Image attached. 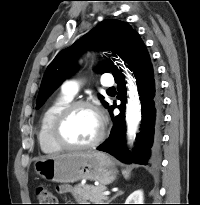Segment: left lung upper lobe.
Listing matches in <instances>:
<instances>
[{
    "label": "left lung upper lobe",
    "instance_id": "5c2ea615",
    "mask_svg": "<svg viewBox=\"0 0 200 205\" xmlns=\"http://www.w3.org/2000/svg\"><path fill=\"white\" fill-rule=\"evenodd\" d=\"M136 33L127 23L104 20L72 46L60 51L45 71L36 108H40L53 91L76 70V60L81 52L87 48L114 50L122 58ZM114 70L107 65L97 68L100 73ZM103 98L99 95V99L107 106Z\"/></svg>",
    "mask_w": 200,
    "mask_h": 205
}]
</instances>
